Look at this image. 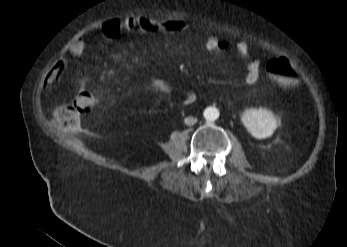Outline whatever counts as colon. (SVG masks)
<instances>
[{
	"mask_svg": "<svg viewBox=\"0 0 347 247\" xmlns=\"http://www.w3.org/2000/svg\"><path fill=\"white\" fill-rule=\"evenodd\" d=\"M272 81L281 88L291 89L298 83V74L294 66L285 58L273 59L267 64ZM97 106V97L90 90H81L75 95V101L63 104L53 111V120L65 130L78 126L82 113H90Z\"/></svg>",
	"mask_w": 347,
	"mask_h": 247,
	"instance_id": "1",
	"label": "colon"
}]
</instances>
